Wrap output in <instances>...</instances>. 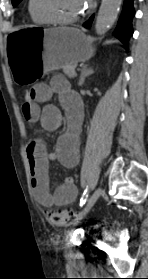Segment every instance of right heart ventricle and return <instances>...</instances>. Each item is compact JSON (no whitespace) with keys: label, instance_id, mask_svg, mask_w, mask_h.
Listing matches in <instances>:
<instances>
[{"label":"right heart ventricle","instance_id":"e07e8e85","mask_svg":"<svg viewBox=\"0 0 148 279\" xmlns=\"http://www.w3.org/2000/svg\"><path fill=\"white\" fill-rule=\"evenodd\" d=\"M28 10H29L31 19H32V21H33L35 24L44 25V24L47 23V22H45V21L39 19L38 17H36V16L32 13V10H31V0L29 1Z\"/></svg>","mask_w":148,"mask_h":279}]
</instances>
